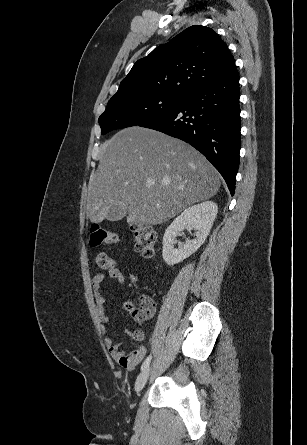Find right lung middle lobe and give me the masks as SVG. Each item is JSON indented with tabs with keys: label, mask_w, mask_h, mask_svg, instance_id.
Segmentation results:
<instances>
[{
	"label": "right lung middle lobe",
	"mask_w": 307,
	"mask_h": 445,
	"mask_svg": "<svg viewBox=\"0 0 307 445\" xmlns=\"http://www.w3.org/2000/svg\"><path fill=\"white\" fill-rule=\"evenodd\" d=\"M184 96L143 94L113 96L99 117L101 133L141 125L175 108Z\"/></svg>",
	"instance_id": "1"
}]
</instances>
